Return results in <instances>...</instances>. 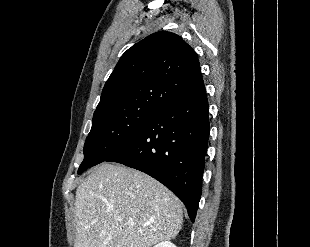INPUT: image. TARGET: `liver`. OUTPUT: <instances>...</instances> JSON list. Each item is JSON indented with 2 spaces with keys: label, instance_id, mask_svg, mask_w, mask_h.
<instances>
[{
  "label": "liver",
  "instance_id": "obj_1",
  "mask_svg": "<svg viewBox=\"0 0 310 247\" xmlns=\"http://www.w3.org/2000/svg\"><path fill=\"white\" fill-rule=\"evenodd\" d=\"M183 204L138 170L102 163L78 186L74 247H151L174 239Z\"/></svg>",
  "mask_w": 310,
  "mask_h": 247
}]
</instances>
